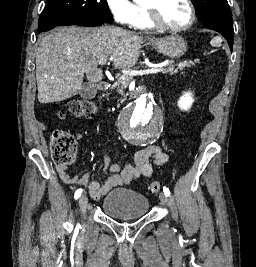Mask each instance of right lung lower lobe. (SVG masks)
Listing matches in <instances>:
<instances>
[{
    "mask_svg": "<svg viewBox=\"0 0 256 267\" xmlns=\"http://www.w3.org/2000/svg\"><path fill=\"white\" fill-rule=\"evenodd\" d=\"M99 24L100 22H96V21H73V22L65 23L64 26H67V25L97 26Z\"/></svg>",
    "mask_w": 256,
    "mask_h": 267,
    "instance_id": "98d812e1",
    "label": "right lung lower lobe"
}]
</instances>
